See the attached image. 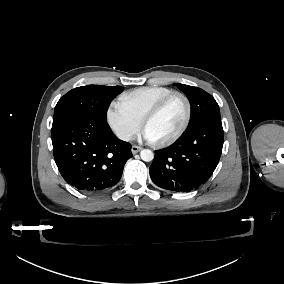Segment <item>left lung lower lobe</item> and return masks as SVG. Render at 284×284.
<instances>
[{
  "instance_id": "0a47b994",
  "label": "left lung lower lobe",
  "mask_w": 284,
  "mask_h": 284,
  "mask_svg": "<svg viewBox=\"0 0 284 284\" xmlns=\"http://www.w3.org/2000/svg\"><path fill=\"white\" fill-rule=\"evenodd\" d=\"M222 147L221 119L192 125L173 145L155 152L149 168L150 177L157 186L166 190L190 192L212 175Z\"/></svg>"
}]
</instances>
